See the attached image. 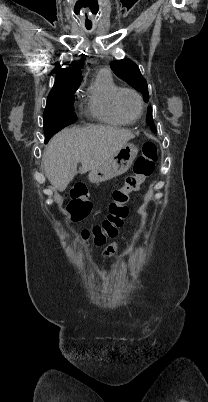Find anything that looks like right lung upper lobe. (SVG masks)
Masks as SVG:
<instances>
[{"mask_svg":"<svg viewBox=\"0 0 208 402\" xmlns=\"http://www.w3.org/2000/svg\"><path fill=\"white\" fill-rule=\"evenodd\" d=\"M81 80L82 74L78 66H75L74 68L60 69L57 72L54 86L48 96L76 90L77 86L81 83Z\"/></svg>","mask_w":208,"mask_h":402,"instance_id":"1","label":"right lung upper lobe"}]
</instances>
